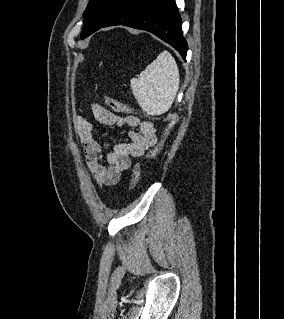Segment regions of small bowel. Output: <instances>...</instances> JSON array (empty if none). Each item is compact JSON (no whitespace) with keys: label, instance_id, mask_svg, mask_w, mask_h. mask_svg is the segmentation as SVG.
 I'll list each match as a JSON object with an SVG mask.
<instances>
[{"label":"small bowel","instance_id":"obj_1","mask_svg":"<svg viewBox=\"0 0 284 319\" xmlns=\"http://www.w3.org/2000/svg\"><path fill=\"white\" fill-rule=\"evenodd\" d=\"M91 113L96 121L107 126L137 128L129 131L128 143H118L103 151L97 141L93 125L84 117L74 120V129L83 146L87 169L99 187L116 185L122 173L128 171L132 159L141 157L157 142V129L151 121L141 120L134 115L120 117L98 104L91 105Z\"/></svg>","mask_w":284,"mask_h":319}]
</instances>
